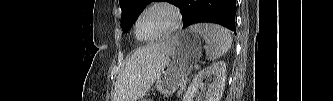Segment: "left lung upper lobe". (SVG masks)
<instances>
[{
    "mask_svg": "<svg viewBox=\"0 0 333 101\" xmlns=\"http://www.w3.org/2000/svg\"><path fill=\"white\" fill-rule=\"evenodd\" d=\"M153 1H167L175 6H181V0H119L122 10L121 25L123 31H128L129 27L136 21L144 7Z\"/></svg>",
    "mask_w": 333,
    "mask_h": 101,
    "instance_id": "5c2ea615",
    "label": "left lung upper lobe"
}]
</instances>
